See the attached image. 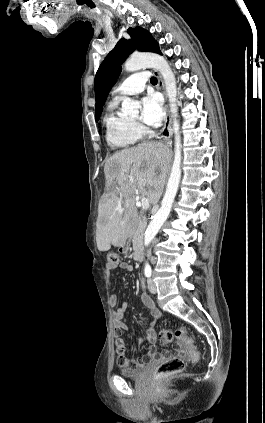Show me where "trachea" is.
I'll list each match as a JSON object with an SVG mask.
<instances>
[{
  "label": "trachea",
  "instance_id": "1",
  "mask_svg": "<svg viewBox=\"0 0 265 423\" xmlns=\"http://www.w3.org/2000/svg\"><path fill=\"white\" fill-rule=\"evenodd\" d=\"M150 82H151L152 84H157V78H156V77H152V78L150 79Z\"/></svg>",
  "mask_w": 265,
  "mask_h": 423
}]
</instances>
